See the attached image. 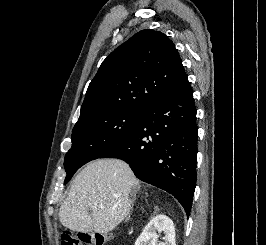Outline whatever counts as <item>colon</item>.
<instances>
[{
  "label": "colon",
  "mask_w": 266,
  "mask_h": 245,
  "mask_svg": "<svg viewBox=\"0 0 266 245\" xmlns=\"http://www.w3.org/2000/svg\"><path fill=\"white\" fill-rule=\"evenodd\" d=\"M105 240V236L101 233L71 234L65 231L60 235L59 245H103Z\"/></svg>",
  "instance_id": "colon-1"
}]
</instances>
